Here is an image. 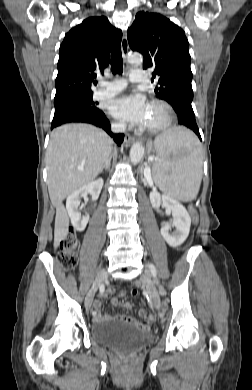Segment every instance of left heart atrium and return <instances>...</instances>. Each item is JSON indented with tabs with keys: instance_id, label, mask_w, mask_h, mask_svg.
Returning a JSON list of instances; mask_svg holds the SVG:
<instances>
[{
	"instance_id": "39dd6f15",
	"label": "left heart atrium",
	"mask_w": 252,
	"mask_h": 390,
	"mask_svg": "<svg viewBox=\"0 0 252 390\" xmlns=\"http://www.w3.org/2000/svg\"><path fill=\"white\" fill-rule=\"evenodd\" d=\"M148 110L149 104L139 94L122 95L110 103V111L115 117L133 125H144Z\"/></svg>"
}]
</instances>
